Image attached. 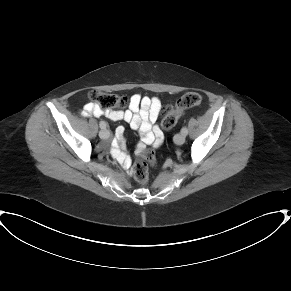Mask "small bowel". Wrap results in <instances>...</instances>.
<instances>
[{"instance_id":"small-bowel-1","label":"small bowel","mask_w":291,"mask_h":291,"mask_svg":"<svg viewBox=\"0 0 291 291\" xmlns=\"http://www.w3.org/2000/svg\"><path fill=\"white\" fill-rule=\"evenodd\" d=\"M161 111V102L156 97L141 96L134 94L129 101V107L126 110L108 109L101 111L94 104H86L81 111L84 116L89 115H104L112 121L123 120L130 125L132 129L138 130L142 136V143L138 144V148H144L145 145H150L154 142L155 138L162 136L160 127L156 124L158 116ZM119 138L113 141V153L118 156L119 161L126 170L130 168V158L124 153H119L117 147L120 145V135L123 133V128L119 127ZM131 175V172L128 171Z\"/></svg>"}]
</instances>
